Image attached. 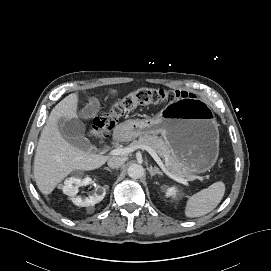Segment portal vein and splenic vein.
<instances>
[{"instance_id":"portal-vein-and-splenic-vein-1","label":"portal vein and splenic vein","mask_w":271,"mask_h":271,"mask_svg":"<svg viewBox=\"0 0 271 271\" xmlns=\"http://www.w3.org/2000/svg\"><path fill=\"white\" fill-rule=\"evenodd\" d=\"M137 148H141V149H144L146 150L152 157L153 159L157 162V164L160 166V168L162 169V171L167 175L169 176L171 179L179 182V183H182L186 186L189 185L188 183V180L185 179V178H182V177H179L177 175H174L172 174L167 168L166 166L164 165V163L162 162V160L160 159V157L157 155V153L149 146H140V147H125V148H116V149H113L112 151H110V155H114V156H118V155H127L131 152H133L135 149ZM193 179H199L201 180L202 178L201 177H193Z\"/></svg>"}]
</instances>
